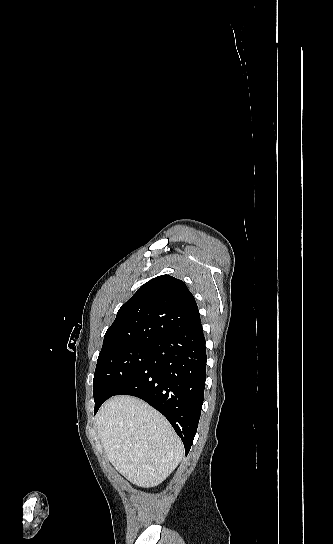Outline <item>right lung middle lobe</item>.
<instances>
[{"label": "right lung middle lobe", "instance_id": "obj_1", "mask_svg": "<svg viewBox=\"0 0 333 544\" xmlns=\"http://www.w3.org/2000/svg\"><path fill=\"white\" fill-rule=\"evenodd\" d=\"M154 343H136L99 354L93 379L95 412L104 401L123 389L147 362Z\"/></svg>", "mask_w": 333, "mask_h": 544}]
</instances>
